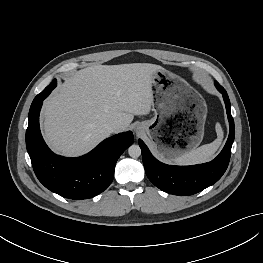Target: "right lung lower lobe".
I'll return each mask as SVG.
<instances>
[{
	"label": "right lung lower lobe",
	"instance_id": "1",
	"mask_svg": "<svg viewBox=\"0 0 263 263\" xmlns=\"http://www.w3.org/2000/svg\"><path fill=\"white\" fill-rule=\"evenodd\" d=\"M46 87L32 102L26 130V147L39 181L52 192L69 199L92 198L112 182L120 155L133 143L131 131L120 133L101 142L88 154L66 158L54 154L45 144L39 127L43 100L56 87Z\"/></svg>",
	"mask_w": 263,
	"mask_h": 263
}]
</instances>
